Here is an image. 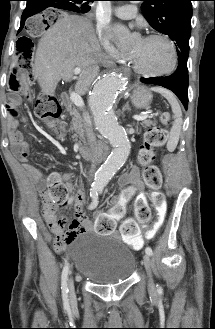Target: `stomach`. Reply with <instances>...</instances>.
Masks as SVG:
<instances>
[{"label": "stomach", "mask_w": 215, "mask_h": 329, "mask_svg": "<svg viewBox=\"0 0 215 329\" xmlns=\"http://www.w3.org/2000/svg\"><path fill=\"white\" fill-rule=\"evenodd\" d=\"M131 102L137 109H146L152 102V94L143 86H137L133 90Z\"/></svg>", "instance_id": "0dacf381"}]
</instances>
